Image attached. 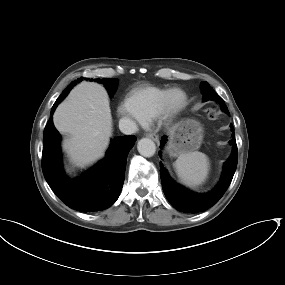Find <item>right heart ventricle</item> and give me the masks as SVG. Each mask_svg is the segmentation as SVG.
<instances>
[{
    "label": "right heart ventricle",
    "instance_id": "1",
    "mask_svg": "<svg viewBox=\"0 0 285 285\" xmlns=\"http://www.w3.org/2000/svg\"><path fill=\"white\" fill-rule=\"evenodd\" d=\"M168 90L161 87L134 88L128 92L125 103L139 121L148 123L158 116Z\"/></svg>",
    "mask_w": 285,
    "mask_h": 285
}]
</instances>
